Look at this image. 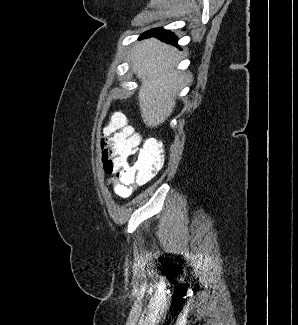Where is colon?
Returning <instances> with one entry per match:
<instances>
[{
	"instance_id": "obj_1",
	"label": "colon",
	"mask_w": 298,
	"mask_h": 325,
	"mask_svg": "<svg viewBox=\"0 0 298 325\" xmlns=\"http://www.w3.org/2000/svg\"><path fill=\"white\" fill-rule=\"evenodd\" d=\"M141 137L120 113H112L102 129L101 158L105 171L124 186L151 180L163 166V156L151 145L140 147Z\"/></svg>"
}]
</instances>
